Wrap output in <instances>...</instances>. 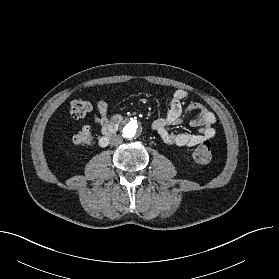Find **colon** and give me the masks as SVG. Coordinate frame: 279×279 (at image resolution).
Instances as JSON below:
<instances>
[{"label": "colon", "instance_id": "obj_1", "mask_svg": "<svg viewBox=\"0 0 279 279\" xmlns=\"http://www.w3.org/2000/svg\"><path fill=\"white\" fill-rule=\"evenodd\" d=\"M92 106L89 101L78 99L71 103L70 115L75 119H81L87 115ZM93 141V134L89 127H83L73 135V142L76 145L87 147ZM194 160L201 164H206L211 161L212 152L209 141L201 143L193 153Z\"/></svg>", "mask_w": 279, "mask_h": 279}]
</instances>
